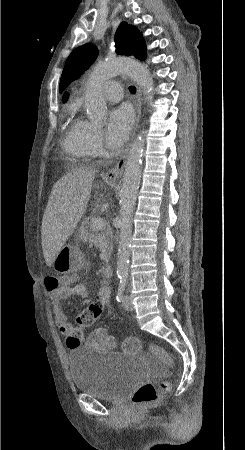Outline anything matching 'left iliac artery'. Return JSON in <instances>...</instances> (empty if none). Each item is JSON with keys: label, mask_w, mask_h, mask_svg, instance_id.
Here are the masks:
<instances>
[{"label": "left iliac artery", "mask_w": 245, "mask_h": 450, "mask_svg": "<svg viewBox=\"0 0 245 450\" xmlns=\"http://www.w3.org/2000/svg\"><path fill=\"white\" fill-rule=\"evenodd\" d=\"M127 285V278L124 276H120V282L117 289L116 300L118 302H122L123 294Z\"/></svg>", "instance_id": "obj_1"}]
</instances>
